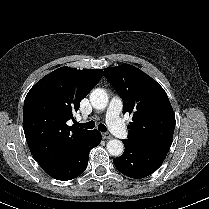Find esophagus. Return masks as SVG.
Instances as JSON below:
<instances>
[{"label": "esophagus", "mask_w": 209, "mask_h": 209, "mask_svg": "<svg viewBox=\"0 0 209 209\" xmlns=\"http://www.w3.org/2000/svg\"><path fill=\"white\" fill-rule=\"evenodd\" d=\"M102 138L103 139H111L112 138V135L110 133H103L102 134Z\"/></svg>", "instance_id": "esophagus-1"}]
</instances>
